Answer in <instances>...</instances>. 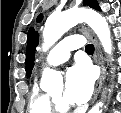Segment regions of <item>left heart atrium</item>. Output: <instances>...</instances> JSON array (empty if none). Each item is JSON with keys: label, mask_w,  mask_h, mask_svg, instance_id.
Masks as SVG:
<instances>
[{"label": "left heart atrium", "mask_w": 121, "mask_h": 113, "mask_svg": "<svg viewBox=\"0 0 121 113\" xmlns=\"http://www.w3.org/2000/svg\"><path fill=\"white\" fill-rule=\"evenodd\" d=\"M94 73L89 64L78 62L68 69L64 98L70 104H83L91 96Z\"/></svg>", "instance_id": "39dd6f15"}]
</instances>
